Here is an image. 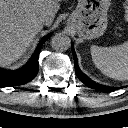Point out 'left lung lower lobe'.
<instances>
[{
  "label": "left lung lower lobe",
  "mask_w": 128,
  "mask_h": 128,
  "mask_svg": "<svg viewBox=\"0 0 128 128\" xmlns=\"http://www.w3.org/2000/svg\"><path fill=\"white\" fill-rule=\"evenodd\" d=\"M72 53H73V58H74L75 73H76L77 77L81 80V82H83L89 88L96 89V90H102V91L115 90V88L95 83L94 81L90 80L86 75H84L81 72V70L79 69V66H78L77 56H76V53L74 51V45L73 44H72Z\"/></svg>",
  "instance_id": "1"
}]
</instances>
